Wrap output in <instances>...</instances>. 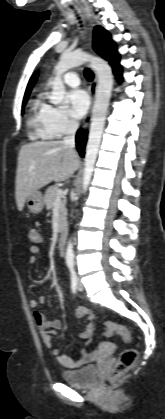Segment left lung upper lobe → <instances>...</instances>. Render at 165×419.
I'll return each mask as SVG.
<instances>
[{"label":"left lung upper lobe","instance_id":"obj_1","mask_svg":"<svg viewBox=\"0 0 165 419\" xmlns=\"http://www.w3.org/2000/svg\"><path fill=\"white\" fill-rule=\"evenodd\" d=\"M93 48L97 54L109 63L118 55L116 45L111 40V35L100 26L94 28Z\"/></svg>","mask_w":165,"mask_h":419}]
</instances>
